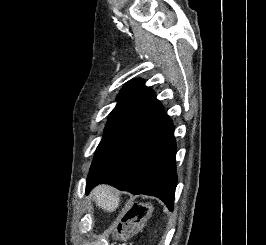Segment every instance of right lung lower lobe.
Returning a JSON list of instances; mask_svg holds the SVG:
<instances>
[{"label": "right lung lower lobe", "mask_w": 266, "mask_h": 245, "mask_svg": "<svg viewBox=\"0 0 266 245\" xmlns=\"http://www.w3.org/2000/svg\"><path fill=\"white\" fill-rule=\"evenodd\" d=\"M173 132L168 115L145 122L92 166L86 194L99 183H109L135 195L158 197L172 210L177 183Z\"/></svg>", "instance_id": "1"}]
</instances>
